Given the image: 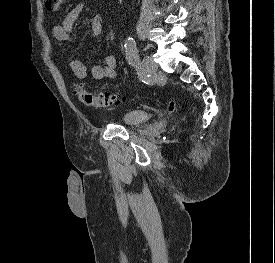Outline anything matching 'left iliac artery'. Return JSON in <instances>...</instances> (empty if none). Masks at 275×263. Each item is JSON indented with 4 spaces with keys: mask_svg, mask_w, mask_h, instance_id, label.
<instances>
[{
    "mask_svg": "<svg viewBox=\"0 0 275 263\" xmlns=\"http://www.w3.org/2000/svg\"><path fill=\"white\" fill-rule=\"evenodd\" d=\"M126 59L129 64L137 65L139 63L138 49L136 41L133 37L129 36L125 42Z\"/></svg>",
    "mask_w": 275,
    "mask_h": 263,
    "instance_id": "44dca946",
    "label": "left iliac artery"
}]
</instances>
